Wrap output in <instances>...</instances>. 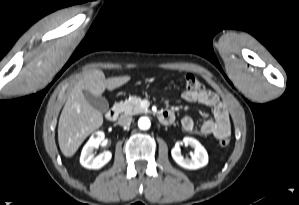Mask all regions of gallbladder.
Wrapping results in <instances>:
<instances>
[{
    "mask_svg": "<svg viewBox=\"0 0 299 205\" xmlns=\"http://www.w3.org/2000/svg\"><path fill=\"white\" fill-rule=\"evenodd\" d=\"M83 94L89 104L100 112H106L109 109V103L105 97L95 96L89 91H83Z\"/></svg>",
    "mask_w": 299,
    "mask_h": 205,
    "instance_id": "1",
    "label": "gallbladder"
}]
</instances>
